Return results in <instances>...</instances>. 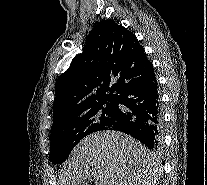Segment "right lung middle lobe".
Instances as JSON below:
<instances>
[{"mask_svg":"<svg viewBox=\"0 0 207 185\" xmlns=\"http://www.w3.org/2000/svg\"><path fill=\"white\" fill-rule=\"evenodd\" d=\"M117 111L118 106L112 102L72 116L52 127L49 155L52 163H63L81 139L115 122Z\"/></svg>","mask_w":207,"mask_h":185,"instance_id":"dd1d6c3e","label":"right lung middle lobe"}]
</instances>
